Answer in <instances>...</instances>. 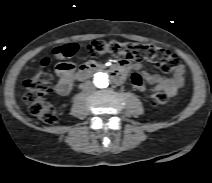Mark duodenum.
Wrapping results in <instances>:
<instances>
[{"label": "duodenum", "mask_w": 212, "mask_h": 183, "mask_svg": "<svg viewBox=\"0 0 212 183\" xmlns=\"http://www.w3.org/2000/svg\"><path fill=\"white\" fill-rule=\"evenodd\" d=\"M105 70V67L102 65H98L93 62H89L86 64H83L76 73V79L78 81L86 80L87 78L91 77L93 74H95L98 71ZM108 74L110 78L116 82L121 83L123 81V72L118 67L109 69Z\"/></svg>", "instance_id": "410a0bca"}]
</instances>
